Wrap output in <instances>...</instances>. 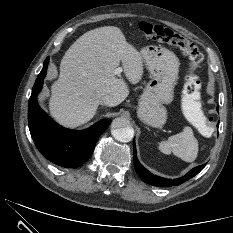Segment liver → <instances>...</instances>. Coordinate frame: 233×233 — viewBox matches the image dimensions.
Here are the masks:
<instances>
[{"instance_id": "liver-1", "label": "liver", "mask_w": 233, "mask_h": 233, "mask_svg": "<svg viewBox=\"0 0 233 233\" xmlns=\"http://www.w3.org/2000/svg\"><path fill=\"white\" fill-rule=\"evenodd\" d=\"M120 62L128 81L137 84L143 58L118 27L96 28L79 37L62 58L59 78L51 87V116L63 126L78 127L93 118L103 96L111 95L114 106L122 103L129 89L114 74Z\"/></svg>"}]
</instances>
